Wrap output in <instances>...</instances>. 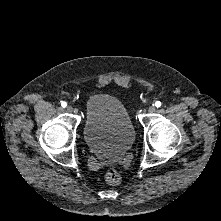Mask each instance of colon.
I'll use <instances>...</instances> for the list:
<instances>
[{
  "label": "colon",
  "mask_w": 221,
  "mask_h": 221,
  "mask_svg": "<svg viewBox=\"0 0 221 221\" xmlns=\"http://www.w3.org/2000/svg\"><path fill=\"white\" fill-rule=\"evenodd\" d=\"M104 178L111 185H117L121 181L120 172L114 165H110L105 169Z\"/></svg>",
  "instance_id": "obj_1"
}]
</instances>
